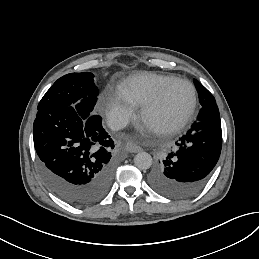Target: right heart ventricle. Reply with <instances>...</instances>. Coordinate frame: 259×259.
Segmentation results:
<instances>
[{
    "mask_svg": "<svg viewBox=\"0 0 259 259\" xmlns=\"http://www.w3.org/2000/svg\"><path fill=\"white\" fill-rule=\"evenodd\" d=\"M174 76L173 74L144 73L124 83L122 90L139 106H143L165 81Z\"/></svg>",
    "mask_w": 259,
    "mask_h": 259,
    "instance_id": "e07e8e85",
    "label": "right heart ventricle"
}]
</instances>
